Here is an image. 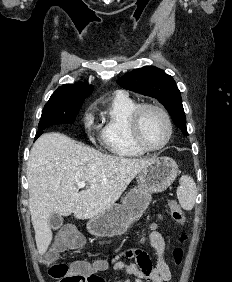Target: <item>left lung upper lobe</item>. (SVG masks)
<instances>
[{
	"label": "left lung upper lobe",
	"instance_id": "1",
	"mask_svg": "<svg viewBox=\"0 0 232 282\" xmlns=\"http://www.w3.org/2000/svg\"><path fill=\"white\" fill-rule=\"evenodd\" d=\"M117 83L127 90L156 98L168 110L175 125L188 136L181 92L170 75L157 67L145 66L125 74Z\"/></svg>",
	"mask_w": 232,
	"mask_h": 282
}]
</instances>
